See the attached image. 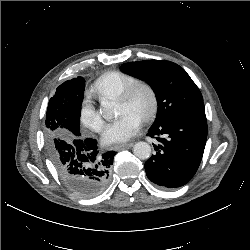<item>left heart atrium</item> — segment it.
Segmentation results:
<instances>
[{"mask_svg":"<svg viewBox=\"0 0 250 250\" xmlns=\"http://www.w3.org/2000/svg\"><path fill=\"white\" fill-rule=\"evenodd\" d=\"M139 128V117L129 112L123 113L105 127L102 134V142L104 144H113L127 141L138 132Z\"/></svg>","mask_w":250,"mask_h":250,"instance_id":"obj_1","label":"left heart atrium"}]
</instances>
